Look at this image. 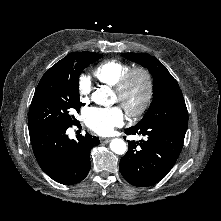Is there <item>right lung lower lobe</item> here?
I'll return each mask as SVG.
<instances>
[{"mask_svg": "<svg viewBox=\"0 0 221 221\" xmlns=\"http://www.w3.org/2000/svg\"><path fill=\"white\" fill-rule=\"evenodd\" d=\"M79 125V122L74 124ZM72 125H56L30 130L34 155L41 169L53 180L64 185L82 181L89 173L90 150L100 144L98 137L86 132L70 140L66 130Z\"/></svg>", "mask_w": 221, "mask_h": 221, "instance_id": "right-lung-lower-lobe-1", "label": "right lung lower lobe"}]
</instances>
